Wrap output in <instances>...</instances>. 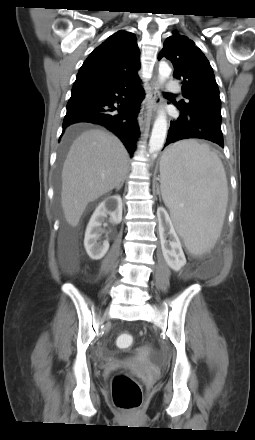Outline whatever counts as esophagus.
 <instances>
[{"label":"esophagus","mask_w":255,"mask_h":440,"mask_svg":"<svg viewBox=\"0 0 255 440\" xmlns=\"http://www.w3.org/2000/svg\"><path fill=\"white\" fill-rule=\"evenodd\" d=\"M151 101L146 100L142 105L141 111L138 115V122L141 128L147 123L150 114H154L157 111L159 104L161 103L160 84L155 78L151 84Z\"/></svg>","instance_id":"esophagus-1"}]
</instances>
